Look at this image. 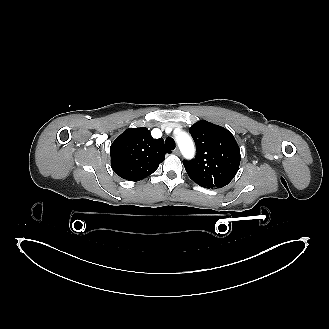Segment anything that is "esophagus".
<instances>
[{"mask_svg": "<svg viewBox=\"0 0 329 329\" xmlns=\"http://www.w3.org/2000/svg\"><path fill=\"white\" fill-rule=\"evenodd\" d=\"M173 153H174L175 155H180V150H179L178 148H176V149L173 151Z\"/></svg>", "mask_w": 329, "mask_h": 329, "instance_id": "esophagus-1", "label": "esophagus"}]
</instances>
